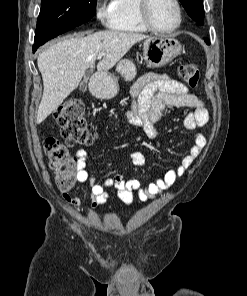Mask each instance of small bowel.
Here are the masks:
<instances>
[{
  "mask_svg": "<svg viewBox=\"0 0 247 296\" xmlns=\"http://www.w3.org/2000/svg\"><path fill=\"white\" fill-rule=\"evenodd\" d=\"M131 98V108L124 113V121L129 127L142 129L149 138L158 136L156 124L163 118L167 107L191 109L183 117V125L190 131L205 126L209 120L205 103L191 93L186 85L166 75L147 73L141 76L131 89ZM206 145V137L196 133L189 153L182 158L179 165L169 169L163 177L146 184L135 178L126 180L121 175L108 177L102 183H98L86 170L89 155L84 150H78L76 156L79 168L76 179L79 183H87L90 186L91 210L107 202L111 189H114L118 198L127 205L134 202L135 194L140 201L148 202L175 184ZM131 158L137 167L145 165L148 161L141 151L132 152ZM63 198L71 205L81 202L80 196L76 193H64Z\"/></svg>",
  "mask_w": 247,
  "mask_h": 296,
  "instance_id": "obj_1",
  "label": "small bowel"
}]
</instances>
